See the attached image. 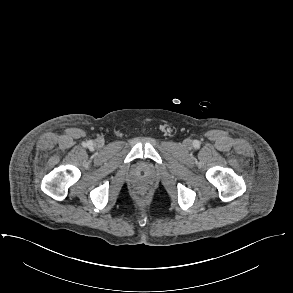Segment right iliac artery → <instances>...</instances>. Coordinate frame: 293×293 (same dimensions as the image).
Returning <instances> with one entry per match:
<instances>
[{
  "mask_svg": "<svg viewBox=\"0 0 293 293\" xmlns=\"http://www.w3.org/2000/svg\"><path fill=\"white\" fill-rule=\"evenodd\" d=\"M88 145H89V146H92V142H91V141H90V142H88Z\"/></svg>",
  "mask_w": 293,
  "mask_h": 293,
  "instance_id": "right-iliac-artery-1",
  "label": "right iliac artery"
}]
</instances>
